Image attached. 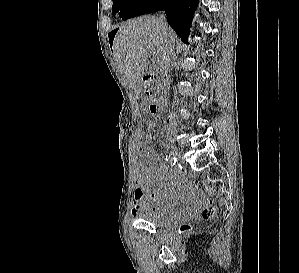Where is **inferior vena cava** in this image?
Here are the masks:
<instances>
[{
  "mask_svg": "<svg viewBox=\"0 0 299 273\" xmlns=\"http://www.w3.org/2000/svg\"><path fill=\"white\" fill-rule=\"evenodd\" d=\"M159 20L162 24H164L165 26L167 25L166 21H165V14H160ZM173 51V50H172ZM172 54V53H171ZM167 69H168V65H164L161 67V72L163 74V84H164V88H166V80H165V76L167 74Z\"/></svg>",
  "mask_w": 299,
  "mask_h": 273,
  "instance_id": "obj_1",
  "label": "inferior vena cava"
}]
</instances>
